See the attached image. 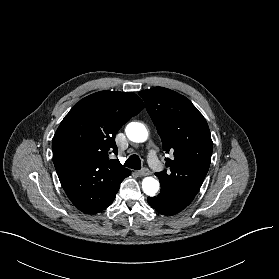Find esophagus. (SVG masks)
Listing matches in <instances>:
<instances>
[{
	"mask_svg": "<svg viewBox=\"0 0 279 279\" xmlns=\"http://www.w3.org/2000/svg\"><path fill=\"white\" fill-rule=\"evenodd\" d=\"M150 170L148 168H143L141 171H140V176H148L150 175Z\"/></svg>",
	"mask_w": 279,
	"mask_h": 279,
	"instance_id": "esophagus-1",
	"label": "esophagus"
}]
</instances>
